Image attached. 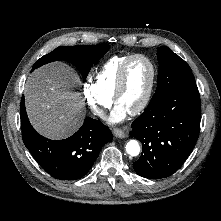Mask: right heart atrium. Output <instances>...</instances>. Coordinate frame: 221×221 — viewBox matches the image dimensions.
Returning <instances> with one entry per match:
<instances>
[{
  "mask_svg": "<svg viewBox=\"0 0 221 221\" xmlns=\"http://www.w3.org/2000/svg\"><path fill=\"white\" fill-rule=\"evenodd\" d=\"M83 97L92 113L98 117H103L105 112L112 105V98L104 95L90 81H86L82 86Z\"/></svg>",
  "mask_w": 221,
  "mask_h": 221,
  "instance_id": "right-heart-atrium-1",
  "label": "right heart atrium"
}]
</instances>
